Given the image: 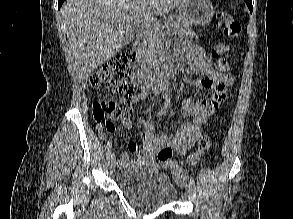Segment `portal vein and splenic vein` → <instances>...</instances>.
Returning a JSON list of instances; mask_svg holds the SVG:
<instances>
[{
    "label": "portal vein and splenic vein",
    "mask_w": 293,
    "mask_h": 219,
    "mask_svg": "<svg viewBox=\"0 0 293 219\" xmlns=\"http://www.w3.org/2000/svg\"><path fill=\"white\" fill-rule=\"evenodd\" d=\"M154 26V25H153ZM149 28H152V25L150 24V25H148L147 27L145 26V25H142V29H145V30H147V29H149ZM155 28L156 29H158L159 28V26H155Z\"/></svg>",
    "instance_id": "obj_1"
}]
</instances>
